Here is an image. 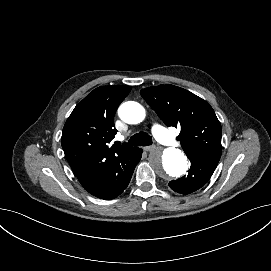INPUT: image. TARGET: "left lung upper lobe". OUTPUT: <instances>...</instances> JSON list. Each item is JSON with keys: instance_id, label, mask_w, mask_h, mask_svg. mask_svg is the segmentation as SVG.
<instances>
[{"instance_id": "5c2ea615", "label": "left lung upper lobe", "mask_w": 271, "mask_h": 271, "mask_svg": "<svg viewBox=\"0 0 271 271\" xmlns=\"http://www.w3.org/2000/svg\"><path fill=\"white\" fill-rule=\"evenodd\" d=\"M140 93L168 127L181 128L177 140L188 157L207 154L219 161L222 128L205 100L173 85L153 86Z\"/></svg>"}]
</instances>
